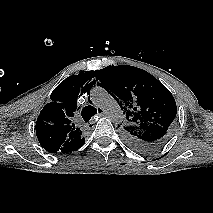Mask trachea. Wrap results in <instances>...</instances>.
<instances>
[{"label":"trachea","mask_w":213,"mask_h":213,"mask_svg":"<svg viewBox=\"0 0 213 213\" xmlns=\"http://www.w3.org/2000/svg\"><path fill=\"white\" fill-rule=\"evenodd\" d=\"M95 114H97V109L93 106H85L82 111L81 115L85 122H88Z\"/></svg>","instance_id":"obj_1"}]
</instances>
